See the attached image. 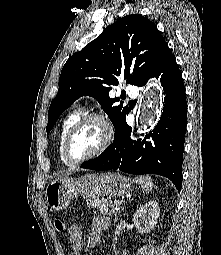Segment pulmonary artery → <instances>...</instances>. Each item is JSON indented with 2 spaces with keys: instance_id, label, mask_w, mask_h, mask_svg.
Here are the masks:
<instances>
[{
  "instance_id": "e3ab8cb5",
  "label": "pulmonary artery",
  "mask_w": 221,
  "mask_h": 255,
  "mask_svg": "<svg viewBox=\"0 0 221 255\" xmlns=\"http://www.w3.org/2000/svg\"><path fill=\"white\" fill-rule=\"evenodd\" d=\"M125 91L127 94H129L130 96H136L138 91H137V87L134 84L131 83H127L125 85Z\"/></svg>"
}]
</instances>
